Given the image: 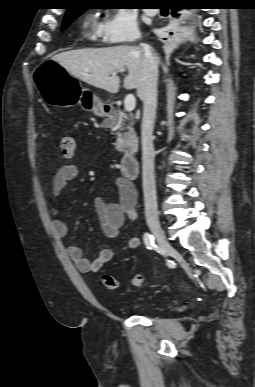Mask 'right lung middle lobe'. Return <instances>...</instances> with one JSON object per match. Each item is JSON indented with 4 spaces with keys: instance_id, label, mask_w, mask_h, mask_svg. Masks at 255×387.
Segmentation results:
<instances>
[{
    "instance_id": "obj_1",
    "label": "right lung middle lobe",
    "mask_w": 255,
    "mask_h": 387,
    "mask_svg": "<svg viewBox=\"0 0 255 387\" xmlns=\"http://www.w3.org/2000/svg\"><path fill=\"white\" fill-rule=\"evenodd\" d=\"M83 11L84 10H79V7H78V8H75L74 10L67 12L64 17L61 30H65L70 25V23L74 19H76Z\"/></svg>"
}]
</instances>
